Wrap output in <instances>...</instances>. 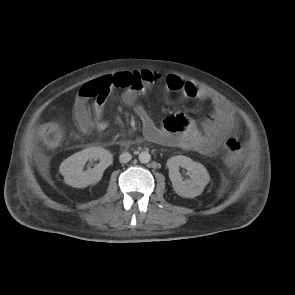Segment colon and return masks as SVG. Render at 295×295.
<instances>
[{"instance_id": "5ec220e1", "label": "colon", "mask_w": 295, "mask_h": 295, "mask_svg": "<svg viewBox=\"0 0 295 295\" xmlns=\"http://www.w3.org/2000/svg\"><path fill=\"white\" fill-rule=\"evenodd\" d=\"M140 84L139 78L132 73H118L105 77L100 81V86L108 90L112 88H130ZM63 132L55 123H45L40 128V137L48 148L57 147L62 140ZM246 155L243 144L236 138H230L226 142V160L230 164L240 163Z\"/></svg>"}]
</instances>
